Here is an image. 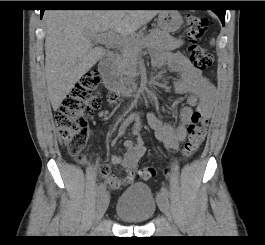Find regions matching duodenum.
Instances as JSON below:
<instances>
[{
	"label": "duodenum",
	"mask_w": 265,
	"mask_h": 245,
	"mask_svg": "<svg viewBox=\"0 0 265 245\" xmlns=\"http://www.w3.org/2000/svg\"><path fill=\"white\" fill-rule=\"evenodd\" d=\"M100 77L105 87L112 93L129 97L142 90L138 79L119 77L115 71V61L112 54H109L98 65Z\"/></svg>",
	"instance_id": "1"
}]
</instances>
